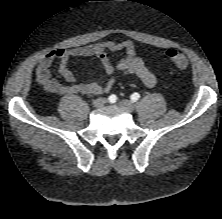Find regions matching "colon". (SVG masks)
<instances>
[{
  "mask_svg": "<svg viewBox=\"0 0 222 219\" xmlns=\"http://www.w3.org/2000/svg\"><path fill=\"white\" fill-rule=\"evenodd\" d=\"M166 57L178 69L184 70L187 69L189 66V61L187 57L177 50H168L166 52Z\"/></svg>",
  "mask_w": 222,
  "mask_h": 219,
  "instance_id": "colon-1",
  "label": "colon"
}]
</instances>
